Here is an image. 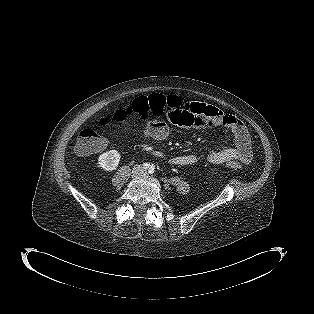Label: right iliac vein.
<instances>
[{
    "label": "right iliac vein",
    "instance_id": "63e3f726",
    "mask_svg": "<svg viewBox=\"0 0 314 314\" xmlns=\"http://www.w3.org/2000/svg\"><path fill=\"white\" fill-rule=\"evenodd\" d=\"M137 176H138V171L135 170V171L133 172V177L136 178Z\"/></svg>",
    "mask_w": 314,
    "mask_h": 314
}]
</instances>
